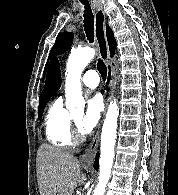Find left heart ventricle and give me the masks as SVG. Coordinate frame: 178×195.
Instances as JSON below:
<instances>
[{
  "instance_id": "1",
  "label": "left heart ventricle",
  "mask_w": 178,
  "mask_h": 195,
  "mask_svg": "<svg viewBox=\"0 0 178 195\" xmlns=\"http://www.w3.org/2000/svg\"><path fill=\"white\" fill-rule=\"evenodd\" d=\"M74 119H75V121H76L77 123H79V121H80V119H81V116H80V115H77V116L74 117Z\"/></svg>"
}]
</instances>
